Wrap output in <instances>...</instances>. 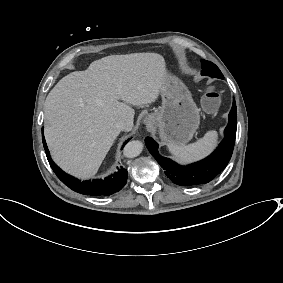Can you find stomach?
Listing matches in <instances>:
<instances>
[{
    "instance_id": "1",
    "label": "stomach",
    "mask_w": 283,
    "mask_h": 283,
    "mask_svg": "<svg viewBox=\"0 0 283 283\" xmlns=\"http://www.w3.org/2000/svg\"><path fill=\"white\" fill-rule=\"evenodd\" d=\"M160 95V110L147 114L144 124L152 130L158 128L161 140L168 145L187 143L200 122L199 109L191 92L180 79L167 73Z\"/></svg>"
}]
</instances>
